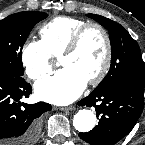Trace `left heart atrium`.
Segmentation results:
<instances>
[{
  "instance_id": "obj_1",
  "label": "left heart atrium",
  "mask_w": 145,
  "mask_h": 145,
  "mask_svg": "<svg viewBox=\"0 0 145 145\" xmlns=\"http://www.w3.org/2000/svg\"><path fill=\"white\" fill-rule=\"evenodd\" d=\"M87 80L72 67H64L54 76L35 84L36 95L47 102L66 105L75 100L85 89Z\"/></svg>"
}]
</instances>
